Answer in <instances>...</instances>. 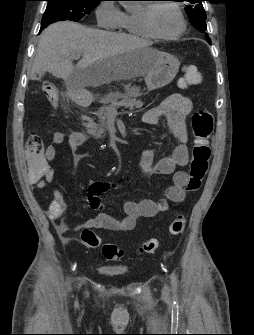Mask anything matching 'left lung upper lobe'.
Returning a JSON list of instances; mask_svg holds the SVG:
<instances>
[{
  "label": "left lung upper lobe",
  "mask_w": 254,
  "mask_h": 335,
  "mask_svg": "<svg viewBox=\"0 0 254 335\" xmlns=\"http://www.w3.org/2000/svg\"><path fill=\"white\" fill-rule=\"evenodd\" d=\"M191 5L185 8L188 16L191 18V23L202 33H205L207 30L206 26V13L202 5L203 0H183ZM207 35V34H206ZM207 40L210 38L207 35Z\"/></svg>",
  "instance_id": "obj_1"
}]
</instances>
